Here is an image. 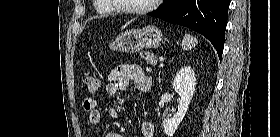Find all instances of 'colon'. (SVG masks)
<instances>
[{
    "label": "colon",
    "mask_w": 280,
    "mask_h": 137,
    "mask_svg": "<svg viewBox=\"0 0 280 137\" xmlns=\"http://www.w3.org/2000/svg\"><path fill=\"white\" fill-rule=\"evenodd\" d=\"M99 80L96 77L89 76L85 80V88L89 93H96L99 89Z\"/></svg>",
    "instance_id": "colon-1"
}]
</instances>
